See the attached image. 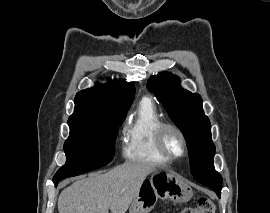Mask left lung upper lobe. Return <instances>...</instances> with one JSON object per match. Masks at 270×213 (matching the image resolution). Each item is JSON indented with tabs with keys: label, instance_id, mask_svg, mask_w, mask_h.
Listing matches in <instances>:
<instances>
[{
	"label": "left lung upper lobe",
	"instance_id": "left-lung-upper-lobe-1",
	"mask_svg": "<svg viewBox=\"0 0 270 213\" xmlns=\"http://www.w3.org/2000/svg\"><path fill=\"white\" fill-rule=\"evenodd\" d=\"M147 87L157 96L172 121L185 134L190 171L194 179L212 188L220 196L222 177L214 168L215 145L200 95L182 89L178 78L167 72L152 76Z\"/></svg>",
	"mask_w": 270,
	"mask_h": 213
}]
</instances>
